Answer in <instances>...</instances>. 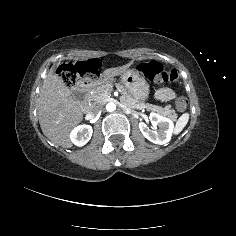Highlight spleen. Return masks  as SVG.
Segmentation results:
<instances>
[{
  "instance_id": "3e777b00",
  "label": "spleen",
  "mask_w": 236,
  "mask_h": 236,
  "mask_svg": "<svg viewBox=\"0 0 236 236\" xmlns=\"http://www.w3.org/2000/svg\"><path fill=\"white\" fill-rule=\"evenodd\" d=\"M188 120H189V114L188 113L182 114L176 122L173 133L175 135H178L183 130V128L187 125Z\"/></svg>"
}]
</instances>
